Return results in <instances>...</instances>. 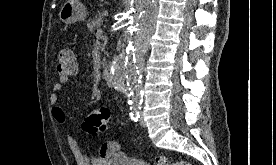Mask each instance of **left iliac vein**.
<instances>
[{
	"mask_svg": "<svg viewBox=\"0 0 276 165\" xmlns=\"http://www.w3.org/2000/svg\"><path fill=\"white\" fill-rule=\"evenodd\" d=\"M139 124H140V126H142V127H145V126H146V122H145V120H144L142 114L140 115V118H139Z\"/></svg>",
	"mask_w": 276,
	"mask_h": 165,
	"instance_id": "1",
	"label": "left iliac vein"
}]
</instances>
